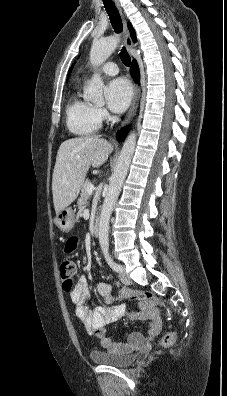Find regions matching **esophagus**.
I'll return each instance as SVG.
<instances>
[{"instance_id": "obj_1", "label": "esophagus", "mask_w": 227, "mask_h": 396, "mask_svg": "<svg viewBox=\"0 0 227 396\" xmlns=\"http://www.w3.org/2000/svg\"><path fill=\"white\" fill-rule=\"evenodd\" d=\"M115 3H116V6L118 7V9H119V11H120V13L122 15V19H123V35H124L125 45H126V48L128 50H130L131 47L133 46V42H132V39L130 37L129 30L127 28V23H126V20L124 19L121 7H120V5L118 3V0H115ZM139 97H140V90H139L138 86H136L133 103L131 105V108H130L127 116H126V119L122 123V126L126 125L133 118V116L135 115V113L137 111V108H138V104H139Z\"/></svg>"}]
</instances>
